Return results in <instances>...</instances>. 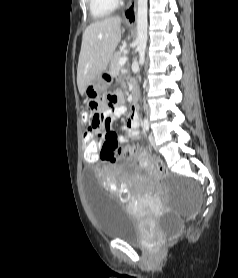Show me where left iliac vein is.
I'll return each instance as SVG.
<instances>
[{
	"mask_svg": "<svg viewBox=\"0 0 238 278\" xmlns=\"http://www.w3.org/2000/svg\"><path fill=\"white\" fill-rule=\"evenodd\" d=\"M148 140H149L150 144H151L153 147H156L155 137H154L153 134H149Z\"/></svg>",
	"mask_w": 238,
	"mask_h": 278,
	"instance_id": "1",
	"label": "left iliac vein"
}]
</instances>
